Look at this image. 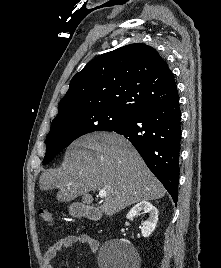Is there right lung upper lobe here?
Listing matches in <instances>:
<instances>
[{
    "mask_svg": "<svg viewBox=\"0 0 221 268\" xmlns=\"http://www.w3.org/2000/svg\"><path fill=\"white\" fill-rule=\"evenodd\" d=\"M177 98L166 62L152 47L136 43L99 55L78 72L57 116L109 110L132 118Z\"/></svg>",
    "mask_w": 221,
    "mask_h": 268,
    "instance_id": "1",
    "label": "right lung upper lobe"
}]
</instances>
